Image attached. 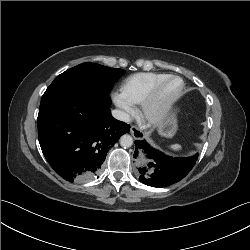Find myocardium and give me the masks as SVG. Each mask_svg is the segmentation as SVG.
Segmentation results:
<instances>
[{"mask_svg":"<svg viewBox=\"0 0 250 250\" xmlns=\"http://www.w3.org/2000/svg\"><path fill=\"white\" fill-rule=\"evenodd\" d=\"M172 80H179L181 82V86L179 90L170 97L167 101L163 104L158 103L159 97L161 94L162 89L164 86L172 81ZM184 81L181 77L176 75H168L167 77L163 78L162 80L158 81L140 103V115L141 118L151 126H157L162 124L170 115L174 105L181 97L183 90H184Z\"/></svg>","mask_w":250,"mask_h":250,"instance_id":"obj_1","label":"myocardium"}]
</instances>
